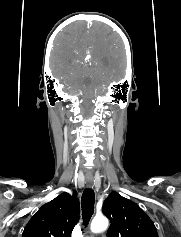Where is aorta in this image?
<instances>
[{
	"label": "aorta",
	"mask_w": 181,
	"mask_h": 237,
	"mask_svg": "<svg viewBox=\"0 0 181 237\" xmlns=\"http://www.w3.org/2000/svg\"><path fill=\"white\" fill-rule=\"evenodd\" d=\"M108 219L104 216H96L91 222V231L93 233H100L108 228Z\"/></svg>",
	"instance_id": "762f6f07"
}]
</instances>
